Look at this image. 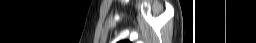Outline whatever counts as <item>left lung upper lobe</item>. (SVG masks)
Returning a JSON list of instances; mask_svg holds the SVG:
<instances>
[{
  "instance_id": "5c2ea615",
  "label": "left lung upper lobe",
  "mask_w": 256,
  "mask_h": 43,
  "mask_svg": "<svg viewBox=\"0 0 256 43\" xmlns=\"http://www.w3.org/2000/svg\"><path fill=\"white\" fill-rule=\"evenodd\" d=\"M119 43H131L130 41H121Z\"/></svg>"
}]
</instances>
